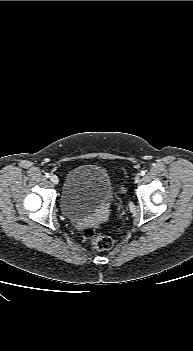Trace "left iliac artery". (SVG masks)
Listing matches in <instances>:
<instances>
[{
    "mask_svg": "<svg viewBox=\"0 0 193 351\" xmlns=\"http://www.w3.org/2000/svg\"><path fill=\"white\" fill-rule=\"evenodd\" d=\"M145 174H146V170H142L140 173L141 176H144Z\"/></svg>",
    "mask_w": 193,
    "mask_h": 351,
    "instance_id": "44dca946",
    "label": "left iliac artery"
}]
</instances>
